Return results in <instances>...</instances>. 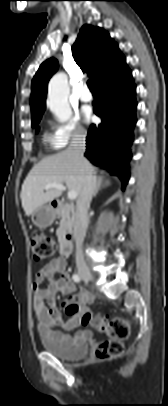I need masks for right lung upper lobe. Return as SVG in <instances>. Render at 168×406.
Instances as JSON below:
<instances>
[{"label":"right lung upper lobe","instance_id":"right-lung-upper-lobe-1","mask_svg":"<svg viewBox=\"0 0 168 406\" xmlns=\"http://www.w3.org/2000/svg\"><path fill=\"white\" fill-rule=\"evenodd\" d=\"M72 54L81 70L88 73L96 86L126 66L117 43L99 27L84 25L72 46ZM57 69V60L50 58L40 65L32 80V123L40 121L45 110L47 84Z\"/></svg>","mask_w":168,"mask_h":406}]
</instances>
